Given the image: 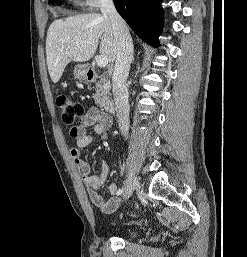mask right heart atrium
Here are the masks:
<instances>
[{"label":"right heart atrium","mask_w":247,"mask_h":257,"mask_svg":"<svg viewBox=\"0 0 247 257\" xmlns=\"http://www.w3.org/2000/svg\"><path fill=\"white\" fill-rule=\"evenodd\" d=\"M78 5L87 8L93 9L99 6L104 0H74Z\"/></svg>","instance_id":"1"}]
</instances>
